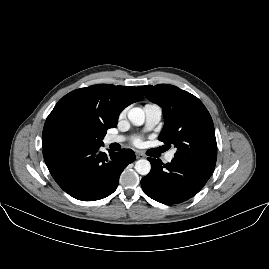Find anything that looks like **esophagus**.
<instances>
[{
    "instance_id": "esophagus-1",
    "label": "esophagus",
    "mask_w": 269,
    "mask_h": 269,
    "mask_svg": "<svg viewBox=\"0 0 269 269\" xmlns=\"http://www.w3.org/2000/svg\"><path fill=\"white\" fill-rule=\"evenodd\" d=\"M145 156L142 154V153H140V152H136V158L137 159H140V158H144Z\"/></svg>"
}]
</instances>
